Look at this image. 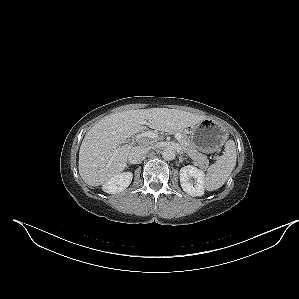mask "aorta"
I'll list each match as a JSON object with an SVG mask.
<instances>
[{
	"instance_id": "aorta-1",
	"label": "aorta",
	"mask_w": 299,
	"mask_h": 299,
	"mask_svg": "<svg viewBox=\"0 0 299 299\" xmlns=\"http://www.w3.org/2000/svg\"><path fill=\"white\" fill-rule=\"evenodd\" d=\"M176 156V151L175 149L171 148V147H166L163 151H162V157L164 160H173Z\"/></svg>"
}]
</instances>
